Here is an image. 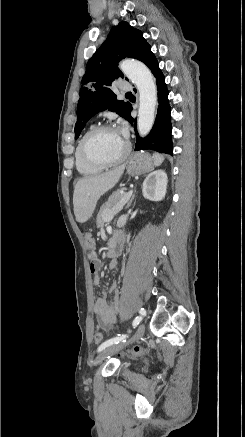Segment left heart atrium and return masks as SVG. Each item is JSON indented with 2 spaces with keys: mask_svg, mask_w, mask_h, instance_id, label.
I'll use <instances>...</instances> for the list:
<instances>
[{
  "mask_svg": "<svg viewBox=\"0 0 245 437\" xmlns=\"http://www.w3.org/2000/svg\"><path fill=\"white\" fill-rule=\"evenodd\" d=\"M119 132L124 138H126V130L124 128L120 129Z\"/></svg>",
  "mask_w": 245,
  "mask_h": 437,
  "instance_id": "obj_1",
  "label": "left heart atrium"
}]
</instances>
